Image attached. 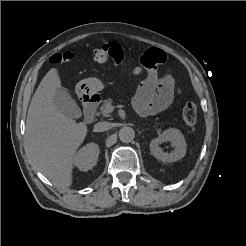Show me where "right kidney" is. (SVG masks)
<instances>
[{
	"label": "right kidney",
	"mask_w": 246,
	"mask_h": 246,
	"mask_svg": "<svg viewBox=\"0 0 246 246\" xmlns=\"http://www.w3.org/2000/svg\"><path fill=\"white\" fill-rule=\"evenodd\" d=\"M99 153V146L96 143H89L77 152L74 164L79 170L88 171L97 164Z\"/></svg>",
	"instance_id": "ca27d5eb"
}]
</instances>
